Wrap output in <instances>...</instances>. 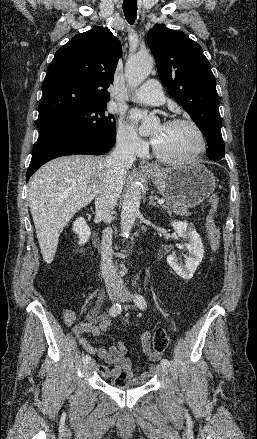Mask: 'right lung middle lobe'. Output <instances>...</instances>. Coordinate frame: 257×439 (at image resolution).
<instances>
[{"instance_id": "1", "label": "right lung middle lobe", "mask_w": 257, "mask_h": 439, "mask_svg": "<svg viewBox=\"0 0 257 439\" xmlns=\"http://www.w3.org/2000/svg\"><path fill=\"white\" fill-rule=\"evenodd\" d=\"M106 109V104H100L38 119V130L43 133L55 128L69 127L115 138L116 122L112 114L105 113Z\"/></svg>"}]
</instances>
